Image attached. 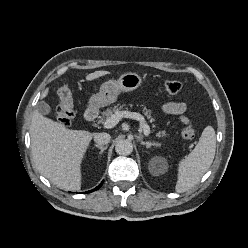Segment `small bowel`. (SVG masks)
<instances>
[{
  "instance_id": "c3829d8e",
  "label": "small bowel",
  "mask_w": 248,
  "mask_h": 248,
  "mask_svg": "<svg viewBox=\"0 0 248 248\" xmlns=\"http://www.w3.org/2000/svg\"><path fill=\"white\" fill-rule=\"evenodd\" d=\"M186 109L187 105L184 102H168L163 106L164 113L177 116L182 123L188 124L189 119L184 116Z\"/></svg>"
}]
</instances>
